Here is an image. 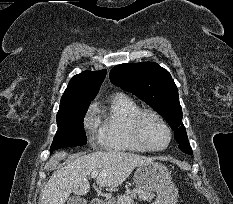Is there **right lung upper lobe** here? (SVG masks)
<instances>
[{"label": "right lung upper lobe", "instance_id": "cb5924a9", "mask_svg": "<svg viewBox=\"0 0 233 204\" xmlns=\"http://www.w3.org/2000/svg\"><path fill=\"white\" fill-rule=\"evenodd\" d=\"M106 70L101 71H84L81 74L75 75L69 82L65 90L60 108L90 105V102L97 95L100 85L102 84Z\"/></svg>", "mask_w": 233, "mask_h": 204}]
</instances>
